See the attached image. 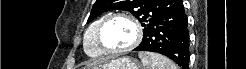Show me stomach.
<instances>
[{
    "label": "stomach",
    "mask_w": 246,
    "mask_h": 69,
    "mask_svg": "<svg viewBox=\"0 0 246 69\" xmlns=\"http://www.w3.org/2000/svg\"><path fill=\"white\" fill-rule=\"evenodd\" d=\"M83 69H140V65L129 57H120L108 62L88 65Z\"/></svg>",
    "instance_id": "obj_1"
}]
</instances>
